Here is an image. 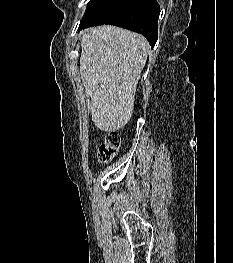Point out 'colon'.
Returning <instances> with one entry per match:
<instances>
[{
	"mask_svg": "<svg viewBox=\"0 0 233 263\" xmlns=\"http://www.w3.org/2000/svg\"><path fill=\"white\" fill-rule=\"evenodd\" d=\"M121 144L122 138L118 132H108L98 152L99 162L102 164L109 163L120 150Z\"/></svg>",
	"mask_w": 233,
	"mask_h": 263,
	"instance_id": "obj_1",
	"label": "colon"
}]
</instances>
